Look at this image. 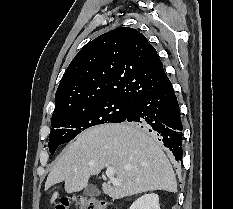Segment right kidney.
<instances>
[{
  "mask_svg": "<svg viewBox=\"0 0 233 209\" xmlns=\"http://www.w3.org/2000/svg\"><path fill=\"white\" fill-rule=\"evenodd\" d=\"M129 209H160L159 197L157 194H145L138 198Z\"/></svg>",
  "mask_w": 233,
  "mask_h": 209,
  "instance_id": "1",
  "label": "right kidney"
}]
</instances>
